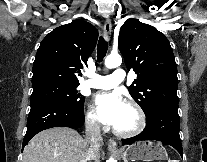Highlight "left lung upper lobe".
Here are the masks:
<instances>
[{
  "mask_svg": "<svg viewBox=\"0 0 207 162\" xmlns=\"http://www.w3.org/2000/svg\"><path fill=\"white\" fill-rule=\"evenodd\" d=\"M118 43L127 69L137 74L129 92L145 115L159 104H178L177 67L168 39L155 27L128 19Z\"/></svg>",
  "mask_w": 207,
  "mask_h": 162,
  "instance_id": "obj_1",
  "label": "left lung upper lobe"
}]
</instances>
